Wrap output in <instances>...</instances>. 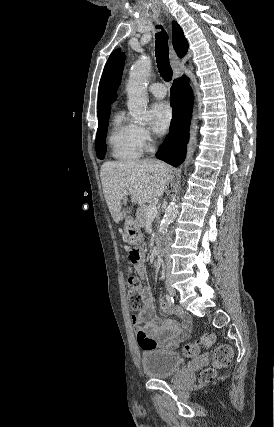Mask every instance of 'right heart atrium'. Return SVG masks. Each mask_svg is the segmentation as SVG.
<instances>
[{
	"label": "right heart atrium",
	"mask_w": 274,
	"mask_h": 427,
	"mask_svg": "<svg viewBox=\"0 0 274 427\" xmlns=\"http://www.w3.org/2000/svg\"><path fill=\"white\" fill-rule=\"evenodd\" d=\"M137 138L142 149L149 150L152 147L150 131L143 126H137Z\"/></svg>",
	"instance_id": "1"
}]
</instances>
